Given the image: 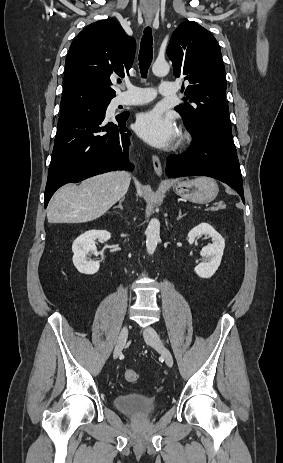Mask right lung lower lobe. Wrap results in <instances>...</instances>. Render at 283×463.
<instances>
[{
  "label": "right lung lower lobe",
  "instance_id": "98d812e1",
  "mask_svg": "<svg viewBox=\"0 0 283 463\" xmlns=\"http://www.w3.org/2000/svg\"><path fill=\"white\" fill-rule=\"evenodd\" d=\"M106 108L93 107L58 120L45 189V208L54 192L66 183L132 168L127 158L131 133L125 126L129 114H121L108 122Z\"/></svg>",
  "mask_w": 283,
  "mask_h": 463
}]
</instances>
